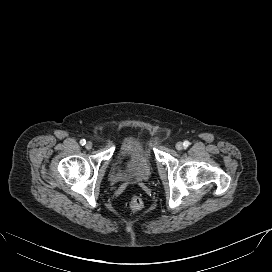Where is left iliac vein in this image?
<instances>
[{
  "instance_id": "4c4485c4",
  "label": "left iliac vein",
  "mask_w": 272,
  "mask_h": 272,
  "mask_svg": "<svg viewBox=\"0 0 272 272\" xmlns=\"http://www.w3.org/2000/svg\"><path fill=\"white\" fill-rule=\"evenodd\" d=\"M183 148H184V145H183L182 142H177V143H176V149H177V150H182Z\"/></svg>"
}]
</instances>
